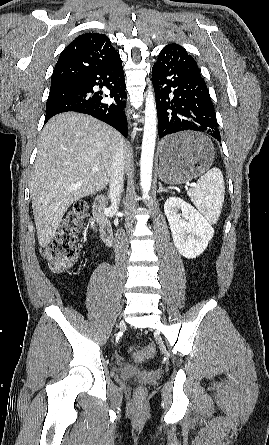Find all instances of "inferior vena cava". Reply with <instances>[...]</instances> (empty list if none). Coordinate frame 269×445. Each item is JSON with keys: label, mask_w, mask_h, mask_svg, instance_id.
<instances>
[{"label": "inferior vena cava", "mask_w": 269, "mask_h": 445, "mask_svg": "<svg viewBox=\"0 0 269 445\" xmlns=\"http://www.w3.org/2000/svg\"><path fill=\"white\" fill-rule=\"evenodd\" d=\"M109 182L111 208L114 212H117L124 183V154L123 147L119 145L113 156L112 173Z\"/></svg>", "instance_id": "obj_1"}]
</instances>
